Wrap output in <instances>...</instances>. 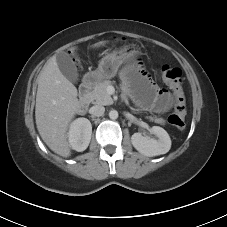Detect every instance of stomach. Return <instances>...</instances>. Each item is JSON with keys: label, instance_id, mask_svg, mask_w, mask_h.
Segmentation results:
<instances>
[{"label": "stomach", "instance_id": "0dacf381", "mask_svg": "<svg viewBox=\"0 0 227 227\" xmlns=\"http://www.w3.org/2000/svg\"><path fill=\"white\" fill-rule=\"evenodd\" d=\"M139 54V50L134 46H123L106 53L100 60L98 68L88 72L86 78L91 83H99L104 79H111L116 76L119 67L126 62L131 61Z\"/></svg>", "mask_w": 227, "mask_h": 227}]
</instances>
